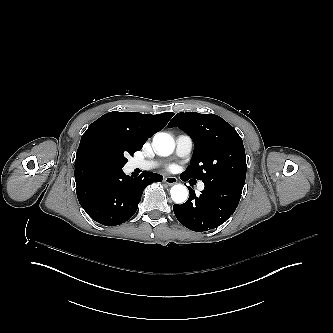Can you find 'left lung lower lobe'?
Wrapping results in <instances>:
<instances>
[{
  "mask_svg": "<svg viewBox=\"0 0 333 333\" xmlns=\"http://www.w3.org/2000/svg\"><path fill=\"white\" fill-rule=\"evenodd\" d=\"M183 181L194 179L180 175ZM205 188L196 196L191 187L189 199L182 205H173L175 216L181 224L192 231H205L223 224L237 208L244 183L221 179L204 183Z\"/></svg>",
  "mask_w": 333,
  "mask_h": 333,
  "instance_id": "obj_1",
  "label": "left lung lower lobe"
}]
</instances>
